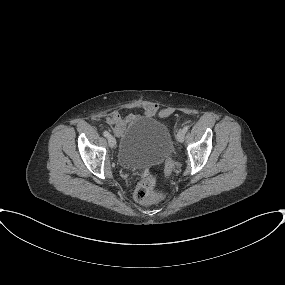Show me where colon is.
Segmentation results:
<instances>
[{
    "label": "colon",
    "instance_id": "colon-1",
    "mask_svg": "<svg viewBox=\"0 0 285 285\" xmlns=\"http://www.w3.org/2000/svg\"><path fill=\"white\" fill-rule=\"evenodd\" d=\"M156 179L151 174H146L134 191V199L140 204H150L159 200L155 193Z\"/></svg>",
    "mask_w": 285,
    "mask_h": 285
}]
</instances>
